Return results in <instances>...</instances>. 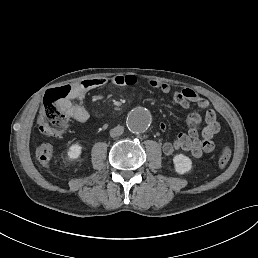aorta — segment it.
I'll return each instance as SVG.
<instances>
[{
	"instance_id": "obj_1",
	"label": "aorta",
	"mask_w": 258,
	"mask_h": 258,
	"mask_svg": "<svg viewBox=\"0 0 258 258\" xmlns=\"http://www.w3.org/2000/svg\"><path fill=\"white\" fill-rule=\"evenodd\" d=\"M152 116L145 108L134 109L127 117V127L132 133H142L151 124Z\"/></svg>"
}]
</instances>
